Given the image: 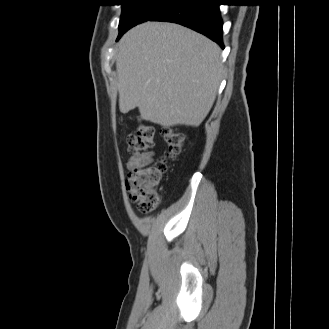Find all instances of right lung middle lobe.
Instances as JSON below:
<instances>
[{
  "label": "right lung middle lobe",
  "instance_id": "1",
  "mask_svg": "<svg viewBox=\"0 0 329 329\" xmlns=\"http://www.w3.org/2000/svg\"><path fill=\"white\" fill-rule=\"evenodd\" d=\"M122 14L119 23L118 39L130 28L150 20L166 5L175 0H120Z\"/></svg>",
  "mask_w": 329,
  "mask_h": 329
}]
</instances>
